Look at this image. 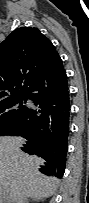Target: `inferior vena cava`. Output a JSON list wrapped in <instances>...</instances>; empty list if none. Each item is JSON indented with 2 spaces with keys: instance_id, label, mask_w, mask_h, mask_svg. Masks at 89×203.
<instances>
[{
  "instance_id": "1",
  "label": "inferior vena cava",
  "mask_w": 89,
  "mask_h": 203,
  "mask_svg": "<svg viewBox=\"0 0 89 203\" xmlns=\"http://www.w3.org/2000/svg\"><path fill=\"white\" fill-rule=\"evenodd\" d=\"M17 202L18 203H25V200L23 199V197H20V199Z\"/></svg>"
}]
</instances>
